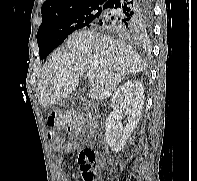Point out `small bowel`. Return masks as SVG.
<instances>
[{
    "instance_id": "1",
    "label": "small bowel",
    "mask_w": 197,
    "mask_h": 181,
    "mask_svg": "<svg viewBox=\"0 0 197 181\" xmlns=\"http://www.w3.org/2000/svg\"><path fill=\"white\" fill-rule=\"evenodd\" d=\"M79 148H80V144L77 142H66L62 147L63 152L65 153L76 151ZM54 166H55L57 175L60 178V181H70L69 177L65 174V171L63 169V155L58 156V158L55 160Z\"/></svg>"
}]
</instances>
